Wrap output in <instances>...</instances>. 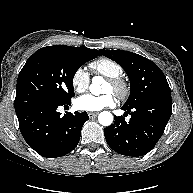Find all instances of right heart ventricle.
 <instances>
[{
	"label": "right heart ventricle",
	"instance_id": "1",
	"mask_svg": "<svg viewBox=\"0 0 193 193\" xmlns=\"http://www.w3.org/2000/svg\"><path fill=\"white\" fill-rule=\"evenodd\" d=\"M90 68L97 75H102L107 78L121 77L123 67L113 59L100 58L90 63Z\"/></svg>",
	"mask_w": 193,
	"mask_h": 193
}]
</instances>
